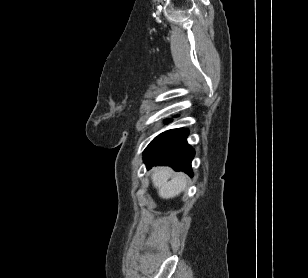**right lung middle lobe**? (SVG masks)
<instances>
[{"label":"right lung middle lobe","mask_w":308,"mask_h":278,"mask_svg":"<svg viewBox=\"0 0 308 278\" xmlns=\"http://www.w3.org/2000/svg\"><path fill=\"white\" fill-rule=\"evenodd\" d=\"M171 121H172L171 119H168V120L165 121V123H169V122H171Z\"/></svg>","instance_id":"right-lung-middle-lobe-1"}]
</instances>
